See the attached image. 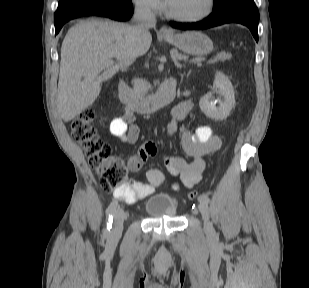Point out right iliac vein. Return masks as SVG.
<instances>
[{
	"label": "right iliac vein",
	"mask_w": 309,
	"mask_h": 288,
	"mask_svg": "<svg viewBox=\"0 0 309 288\" xmlns=\"http://www.w3.org/2000/svg\"><path fill=\"white\" fill-rule=\"evenodd\" d=\"M124 218H125V215L122 209H118L114 213L113 225H112V230L110 233V237L112 240H116L120 237L122 230H123Z\"/></svg>",
	"instance_id": "right-iliac-vein-1"
}]
</instances>
